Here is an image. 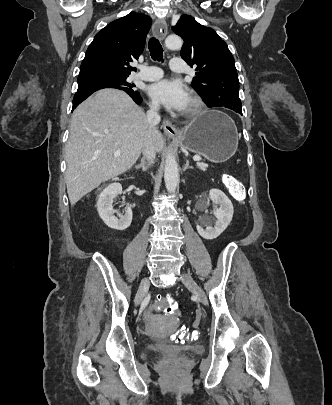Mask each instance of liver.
<instances>
[{
  "label": "liver",
  "mask_w": 332,
  "mask_h": 405,
  "mask_svg": "<svg viewBox=\"0 0 332 405\" xmlns=\"http://www.w3.org/2000/svg\"><path fill=\"white\" fill-rule=\"evenodd\" d=\"M148 132L145 113L123 91L103 89L73 112L65 148V180L72 205L98 187L129 170L138 160ZM156 151L164 138L156 129ZM120 150V155L114 152Z\"/></svg>",
  "instance_id": "obj_1"
}]
</instances>
